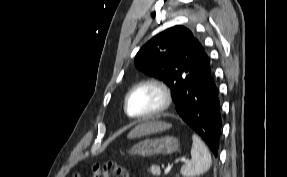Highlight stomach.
<instances>
[{
  "label": "stomach",
  "instance_id": "obj_1",
  "mask_svg": "<svg viewBox=\"0 0 287 177\" xmlns=\"http://www.w3.org/2000/svg\"><path fill=\"white\" fill-rule=\"evenodd\" d=\"M179 148V140L173 136H165L156 139H145L135 144L130 152L142 156L155 154H172Z\"/></svg>",
  "mask_w": 287,
  "mask_h": 177
}]
</instances>
